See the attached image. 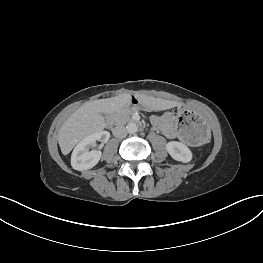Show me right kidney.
Returning a JSON list of instances; mask_svg holds the SVG:
<instances>
[{
	"mask_svg": "<svg viewBox=\"0 0 263 263\" xmlns=\"http://www.w3.org/2000/svg\"><path fill=\"white\" fill-rule=\"evenodd\" d=\"M110 138L108 131H100L85 137L74 148L71 156V166L75 170L83 171L93 168L100 160L102 153L100 150L91 148L96 146L97 141L101 142L100 147Z\"/></svg>",
	"mask_w": 263,
	"mask_h": 263,
	"instance_id": "right-kidney-1",
	"label": "right kidney"
}]
</instances>
